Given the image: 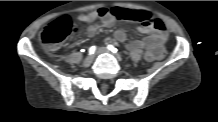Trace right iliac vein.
I'll return each mask as SVG.
<instances>
[{
  "instance_id": "1",
  "label": "right iliac vein",
  "mask_w": 218,
  "mask_h": 122,
  "mask_svg": "<svg viewBox=\"0 0 218 122\" xmlns=\"http://www.w3.org/2000/svg\"><path fill=\"white\" fill-rule=\"evenodd\" d=\"M93 61V57L91 55L87 56L84 61H83V65L85 67L89 66Z\"/></svg>"
}]
</instances>
